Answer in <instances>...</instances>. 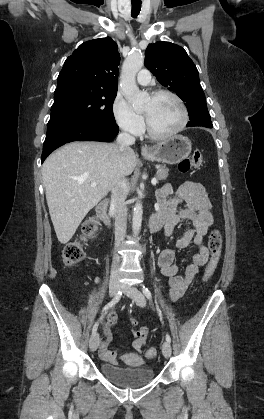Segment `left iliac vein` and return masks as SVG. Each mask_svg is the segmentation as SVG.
<instances>
[{
  "label": "left iliac vein",
  "mask_w": 264,
  "mask_h": 419,
  "mask_svg": "<svg viewBox=\"0 0 264 419\" xmlns=\"http://www.w3.org/2000/svg\"><path fill=\"white\" fill-rule=\"evenodd\" d=\"M123 292L129 298H131L138 306H145V297L142 292L134 286L126 285L123 287ZM162 353L166 358H169L171 355V345L168 341H165L162 345Z\"/></svg>",
  "instance_id": "4c4485c4"
}]
</instances>
